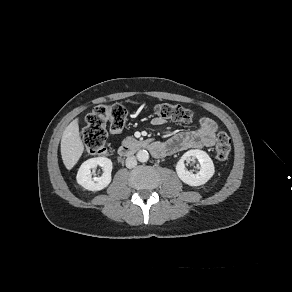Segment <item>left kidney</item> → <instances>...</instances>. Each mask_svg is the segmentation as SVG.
<instances>
[{
    "label": "left kidney",
    "instance_id": "1",
    "mask_svg": "<svg viewBox=\"0 0 292 292\" xmlns=\"http://www.w3.org/2000/svg\"><path fill=\"white\" fill-rule=\"evenodd\" d=\"M191 158H196L200 163V171L193 174L185 169L184 161H190ZM178 177L182 182L190 186H200L205 184L215 172L214 164L209 155L202 150H189L183 154L176 165Z\"/></svg>",
    "mask_w": 292,
    "mask_h": 292
}]
</instances>
